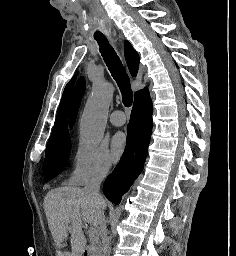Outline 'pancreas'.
Returning a JSON list of instances; mask_svg holds the SVG:
<instances>
[{
	"instance_id": "cf45deb5",
	"label": "pancreas",
	"mask_w": 236,
	"mask_h": 256,
	"mask_svg": "<svg viewBox=\"0 0 236 256\" xmlns=\"http://www.w3.org/2000/svg\"><path fill=\"white\" fill-rule=\"evenodd\" d=\"M91 234V232H90ZM100 234H101V228L100 226H95L94 228V234H91L90 236V242L91 246L93 248L92 253L93 254H100Z\"/></svg>"
}]
</instances>
